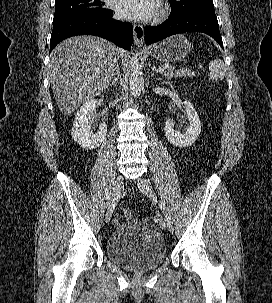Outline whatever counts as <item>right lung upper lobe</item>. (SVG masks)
I'll use <instances>...</instances> for the list:
<instances>
[{
  "mask_svg": "<svg viewBox=\"0 0 272 303\" xmlns=\"http://www.w3.org/2000/svg\"><path fill=\"white\" fill-rule=\"evenodd\" d=\"M57 1H63V0H56L55 2H57Z\"/></svg>",
  "mask_w": 272,
  "mask_h": 303,
  "instance_id": "1",
  "label": "right lung upper lobe"
}]
</instances>
